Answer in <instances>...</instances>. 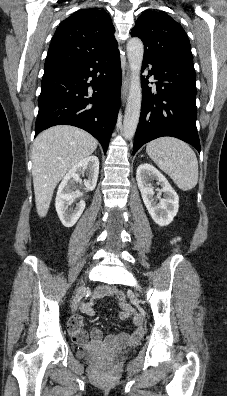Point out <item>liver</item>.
I'll use <instances>...</instances> for the list:
<instances>
[{"label":"liver","instance_id":"6515ba94","mask_svg":"<svg viewBox=\"0 0 227 396\" xmlns=\"http://www.w3.org/2000/svg\"><path fill=\"white\" fill-rule=\"evenodd\" d=\"M97 148V140L79 128L58 125L41 132L32 149V176L37 213L46 216L59 181Z\"/></svg>","mask_w":227,"mask_h":396}]
</instances>
